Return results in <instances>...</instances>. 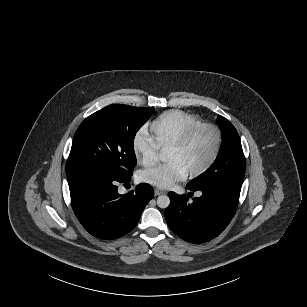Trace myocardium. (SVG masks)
Instances as JSON below:
<instances>
[{
  "label": "myocardium",
  "instance_id": "1",
  "mask_svg": "<svg viewBox=\"0 0 307 307\" xmlns=\"http://www.w3.org/2000/svg\"><path fill=\"white\" fill-rule=\"evenodd\" d=\"M208 129L214 130L217 134L216 148H215L213 154L207 160L206 163H204L197 170L188 174V177H190V178H196L198 176H201L205 172H207L212 167V165L216 162V160L218 159V157H219V155H220V153L223 149V146H224V133H223L222 129L219 126L213 125V124L204 125V126L196 128L195 130L189 132L188 134H186L182 138L172 142L171 144H169L166 147V151L167 150L181 151V150L185 149L192 141H194L203 131L208 130Z\"/></svg>",
  "mask_w": 307,
  "mask_h": 307
}]
</instances>
